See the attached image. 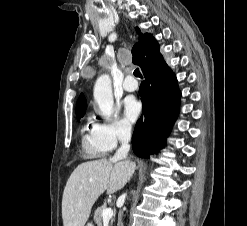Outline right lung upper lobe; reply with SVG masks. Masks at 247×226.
Instances as JSON below:
<instances>
[{
	"mask_svg": "<svg viewBox=\"0 0 247 226\" xmlns=\"http://www.w3.org/2000/svg\"><path fill=\"white\" fill-rule=\"evenodd\" d=\"M137 33L140 34V41L133 46V63L140 66L142 70L145 69L147 61L149 59L150 50L158 47L157 41L151 34H142L138 28H136ZM87 103L83 94H80L77 104H76V115H84L86 111Z\"/></svg>",
	"mask_w": 247,
	"mask_h": 226,
	"instance_id": "obj_1",
	"label": "right lung upper lobe"
}]
</instances>
